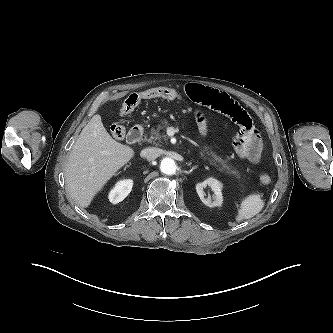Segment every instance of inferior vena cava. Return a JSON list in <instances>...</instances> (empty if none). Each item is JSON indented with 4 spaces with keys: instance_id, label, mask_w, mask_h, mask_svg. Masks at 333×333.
I'll return each mask as SVG.
<instances>
[{
    "instance_id": "1",
    "label": "inferior vena cava",
    "mask_w": 333,
    "mask_h": 333,
    "mask_svg": "<svg viewBox=\"0 0 333 333\" xmlns=\"http://www.w3.org/2000/svg\"><path fill=\"white\" fill-rule=\"evenodd\" d=\"M161 154V150L159 148L151 147L146 148L141 151V157L147 160H155Z\"/></svg>"
}]
</instances>
